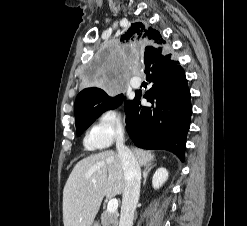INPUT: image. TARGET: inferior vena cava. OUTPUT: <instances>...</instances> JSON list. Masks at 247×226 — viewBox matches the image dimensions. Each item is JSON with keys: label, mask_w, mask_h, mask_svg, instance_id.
Returning a JSON list of instances; mask_svg holds the SVG:
<instances>
[{"label": "inferior vena cava", "mask_w": 247, "mask_h": 226, "mask_svg": "<svg viewBox=\"0 0 247 226\" xmlns=\"http://www.w3.org/2000/svg\"><path fill=\"white\" fill-rule=\"evenodd\" d=\"M116 149L125 176L119 226H132L134 212L140 196V165L132 151L124 145V133L122 130L117 138Z\"/></svg>", "instance_id": "1"}]
</instances>
